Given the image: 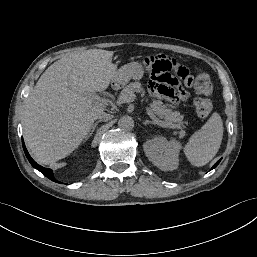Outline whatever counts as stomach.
I'll return each instance as SVG.
<instances>
[{
  "label": "stomach",
  "mask_w": 257,
  "mask_h": 257,
  "mask_svg": "<svg viewBox=\"0 0 257 257\" xmlns=\"http://www.w3.org/2000/svg\"><path fill=\"white\" fill-rule=\"evenodd\" d=\"M144 75L142 64L138 62H131L120 67L117 70L114 83L118 86L125 85L129 80H140Z\"/></svg>",
  "instance_id": "obj_1"
}]
</instances>
